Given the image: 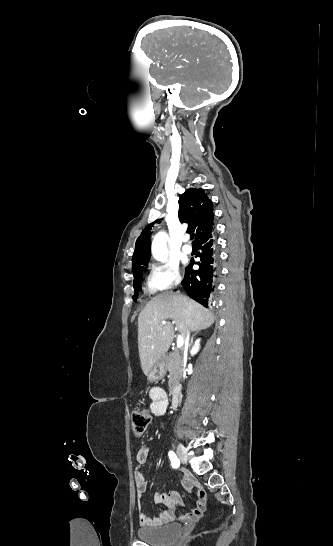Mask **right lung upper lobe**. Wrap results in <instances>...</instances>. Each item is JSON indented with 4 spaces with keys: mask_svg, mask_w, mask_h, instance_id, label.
Returning a JSON list of instances; mask_svg holds the SVG:
<instances>
[{
    "mask_svg": "<svg viewBox=\"0 0 333 546\" xmlns=\"http://www.w3.org/2000/svg\"><path fill=\"white\" fill-rule=\"evenodd\" d=\"M178 216L181 222L189 223L188 229L195 231V240L214 225L213 204L203 189H189L180 195ZM157 220L156 222H158ZM151 223L138 237L132 258L134 276L148 264L151 250Z\"/></svg>",
    "mask_w": 333,
    "mask_h": 546,
    "instance_id": "obj_1",
    "label": "right lung upper lobe"
}]
</instances>
